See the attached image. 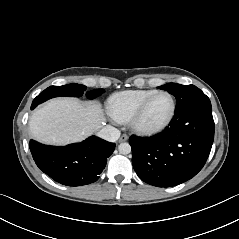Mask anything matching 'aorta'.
<instances>
[{
	"label": "aorta",
	"instance_id": "obj_1",
	"mask_svg": "<svg viewBox=\"0 0 239 239\" xmlns=\"http://www.w3.org/2000/svg\"><path fill=\"white\" fill-rule=\"evenodd\" d=\"M118 150L120 152V154H123V155H127L129 153H131V146L129 143H121L119 146H118Z\"/></svg>",
	"mask_w": 239,
	"mask_h": 239
}]
</instances>
